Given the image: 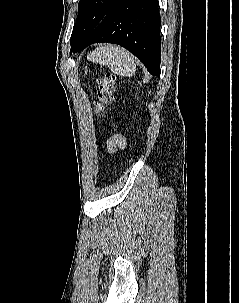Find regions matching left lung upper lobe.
I'll use <instances>...</instances> for the list:
<instances>
[{"label":"left lung upper lobe","instance_id":"1","mask_svg":"<svg viewBox=\"0 0 239 303\" xmlns=\"http://www.w3.org/2000/svg\"><path fill=\"white\" fill-rule=\"evenodd\" d=\"M117 0H80L71 35V52H79L85 37L93 31Z\"/></svg>","mask_w":239,"mask_h":303}]
</instances>
